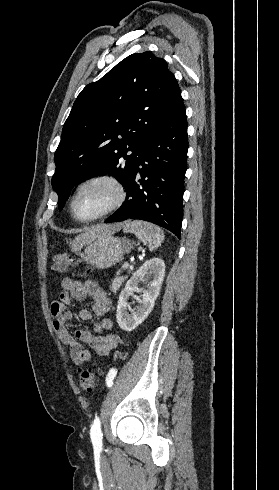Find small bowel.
Returning <instances> with one entry per match:
<instances>
[{
    "label": "small bowel",
    "mask_w": 279,
    "mask_h": 490,
    "mask_svg": "<svg viewBox=\"0 0 279 490\" xmlns=\"http://www.w3.org/2000/svg\"><path fill=\"white\" fill-rule=\"evenodd\" d=\"M61 292L59 299L53 301L50 306L52 315V327L58 339L68 347L70 356L76 365H82L91 360V352L84 349L87 344L97 355L105 356L117 345V339L112 333L113 322L106 315L111 307V300L103 289L93 280H74L64 278L61 280ZM84 301L92 300V308L81 309L79 318L82 321H92L93 316L100 318L94 323L93 330L78 329L72 335L67 327L71 318L67 307L73 299Z\"/></svg>",
    "instance_id": "c3829d8e"
}]
</instances>
